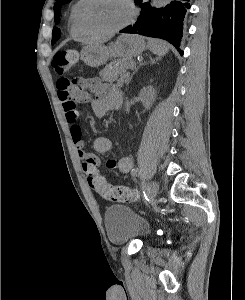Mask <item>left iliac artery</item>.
I'll return each instance as SVG.
<instances>
[{"instance_id": "left-iliac-artery-1", "label": "left iliac artery", "mask_w": 245, "mask_h": 300, "mask_svg": "<svg viewBox=\"0 0 245 300\" xmlns=\"http://www.w3.org/2000/svg\"><path fill=\"white\" fill-rule=\"evenodd\" d=\"M137 173H138V169H135V170L133 171V175H137Z\"/></svg>"}]
</instances>
